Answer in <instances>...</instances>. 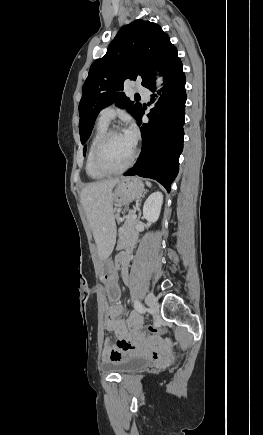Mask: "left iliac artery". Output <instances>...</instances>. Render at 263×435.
Listing matches in <instances>:
<instances>
[{
  "mask_svg": "<svg viewBox=\"0 0 263 435\" xmlns=\"http://www.w3.org/2000/svg\"><path fill=\"white\" fill-rule=\"evenodd\" d=\"M134 307L140 313H145L146 311V308L139 302V300H135Z\"/></svg>",
  "mask_w": 263,
  "mask_h": 435,
  "instance_id": "44dca946",
  "label": "left iliac artery"
}]
</instances>
